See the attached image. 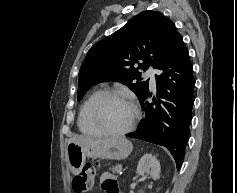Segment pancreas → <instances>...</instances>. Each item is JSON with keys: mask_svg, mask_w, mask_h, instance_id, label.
<instances>
[{"mask_svg": "<svg viewBox=\"0 0 237 193\" xmlns=\"http://www.w3.org/2000/svg\"><path fill=\"white\" fill-rule=\"evenodd\" d=\"M122 169V165L121 164H117L115 166H113V168L111 169L113 173H119Z\"/></svg>", "mask_w": 237, "mask_h": 193, "instance_id": "pancreas-1", "label": "pancreas"}]
</instances>
